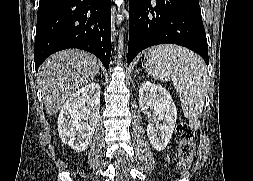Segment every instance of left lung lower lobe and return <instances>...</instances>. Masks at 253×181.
<instances>
[{
  "mask_svg": "<svg viewBox=\"0 0 253 181\" xmlns=\"http://www.w3.org/2000/svg\"><path fill=\"white\" fill-rule=\"evenodd\" d=\"M162 43L187 47L208 65L199 0H129L128 63L143 49Z\"/></svg>",
  "mask_w": 253,
  "mask_h": 181,
  "instance_id": "1",
  "label": "left lung lower lobe"
}]
</instances>
